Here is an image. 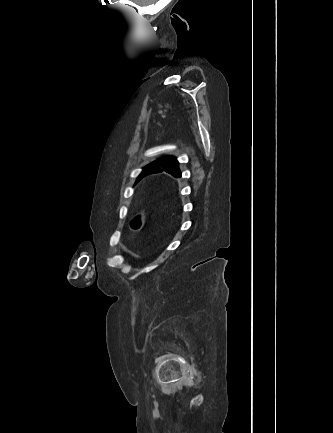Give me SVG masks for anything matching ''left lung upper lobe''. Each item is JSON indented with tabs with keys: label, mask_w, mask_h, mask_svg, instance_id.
<instances>
[{
	"label": "left lung upper lobe",
	"mask_w": 333,
	"mask_h": 433,
	"mask_svg": "<svg viewBox=\"0 0 333 433\" xmlns=\"http://www.w3.org/2000/svg\"><path fill=\"white\" fill-rule=\"evenodd\" d=\"M149 170H151V171H149ZM163 170L172 174L174 177H181V172L178 168L177 159L176 158H169V157L158 159V160L152 162L146 168H144L143 172L145 171V173L148 175V174H152V173H159V172H162Z\"/></svg>",
	"instance_id": "1"
}]
</instances>
